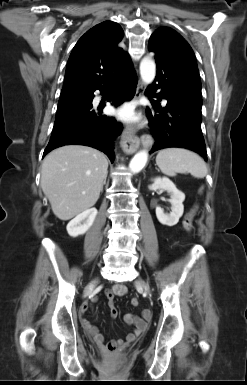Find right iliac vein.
Masks as SVG:
<instances>
[{
  "instance_id": "right-iliac-vein-1",
  "label": "right iliac vein",
  "mask_w": 247,
  "mask_h": 385,
  "mask_svg": "<svg viewBox=\"0 0 247 385\" xmlns=\"http://www.w3.org/2000/svg\"><path fill=\"white\" fill-rule=\"evenodd\" d=\"M96 283L97 280H94L85 288L84 296H87L89 294V292L95 287Z\"/></svg>"
}]
</instances>
